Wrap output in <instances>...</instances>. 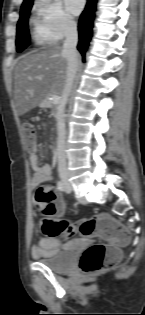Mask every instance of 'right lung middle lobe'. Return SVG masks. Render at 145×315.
<instances>
[{
    "instance_id": "right-lung-middle-lobe-1",
    "label": "right lung middle lobe",
    "mask_w": 145,
    "mask_h": 315,
    "mask_svg": "<svg viewBox=\"0 0 145 315\" xmlns=\"http://www.w3.org/2000/svg\"><path fill=\"white\" fill-rule=\"evenodd\" d=\"M31 7L32 4L21 7L16 35V49L18 52L23 51L29 45L28 17Z\"/></svg>"
}]
</instances>
